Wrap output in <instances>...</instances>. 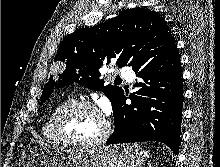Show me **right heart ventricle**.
I'll list each match as a JSON object with an SVG mask.
<instances>
[{
    "label": "right heart ventricle",
    "mask_w": 220,
    "mask_h": 167,
    "mask_svg": "<svg viewBox=\"0 0 220 167\" xmlns=\"http://www.w3.org/2000/svg\"><path fill=\"white\" fill-rule=\"evenodd\" d=\"M69 101H71V98H66V99L62 100L61 102L57 103L50 111V113H49V115L43 125V129H42L43 135L50 142L58 143V144L62 143L55 134L54 120H55V116L58 113V111L60 110V108L62 106H64L66 103H68Z\"/></svg>",
    "instance_id": "1"
}]
</instances>
